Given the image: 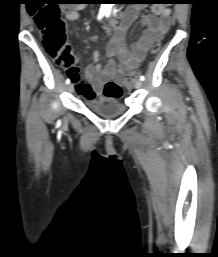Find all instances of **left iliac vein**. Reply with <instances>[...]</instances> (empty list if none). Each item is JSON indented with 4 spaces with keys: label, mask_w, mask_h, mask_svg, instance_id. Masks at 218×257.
<instances>
[{
    "label": "left iliac vein",
    "mask_w": 218,
    "mask_h": 257,
    "mask_svg": "<svg viewBox=\"0 0 218 257\" xmlns=\"http://www.w3.org/2000/svg\"><path fill=\"white\" fill-rule=\"evenodd\" d=\"M142 86V81L140 79L136 80L135 88L139 89Z\"/></svg>",
    "instance_id": "1"
}]
</instances>
